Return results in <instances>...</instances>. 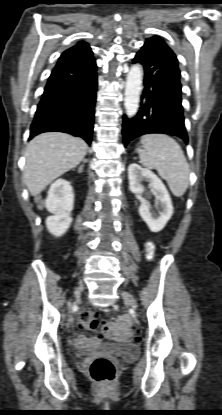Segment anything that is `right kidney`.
Listing matches in <instances>:
<instances>
[{"label":"right kidney","instance_id":"ca27d5eb","mask_svg":"<svg viewBox=\"0 0 222 415\" xmlns=\"http://www.w3.org/2000/svg\"><path fill=\"white\" fill-rule=\"evenodd\" d=\"M45 205L53 214L46 219L48 231L54 236H61L72 222L70 212L74 206V194L70 183L64 179L56 180L50 186Z\"/></svg>","mask_w":222,"mask_h":415}]
</instances>
